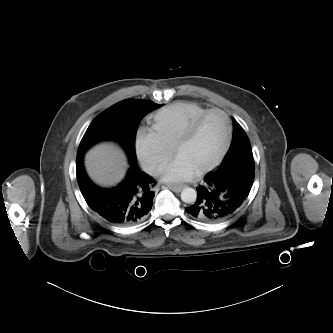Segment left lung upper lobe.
<instances>
[{
  "mask_svg": "<svg viewBox=\"0 0 333 333\" xmlns=\"http://www.w3.org/2000/svg\"><path fill=\"white\" fill-rule=\"evenodd\" d=\"M233 139L231 146L225 155L222 163L218 166L216 170L210 172L213 174L218 170L224 168L225 166L232 165L235 163H249L254 165V159L252 154V149L250 141L243 130V128L234 120L233 123Z\"/></svg>",
  "mask_w": 333,
  "mask_h": 333,
  "instance_id": "obj_1",
  "label": "left lung upper lobe"
}]
</instances>
